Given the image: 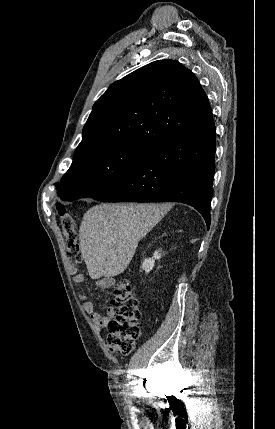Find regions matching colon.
<instances>
[{
  "label": "colon",
  "mask_w": 275,
  "mask_h": 429,
  "mask_svg": "<svg viewBox=\"0 0 275 429\" xmlns=\"http://www.w3.org/2000/svg\"><path fill=\"white\" fill-rule=\"evenodd\" d=\"M57 212L67 240V258L72 265L77 266L82 262V254L75 219L61 204L57 205ZM113 294L112 303L116 316L108 325V347L115 353L128 355L133 351L136 340L140 336L139 304L130 282L126 279H122L114 285Z\"/></svg>",
  "instance_id": "1"
}]
</instances>
